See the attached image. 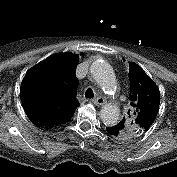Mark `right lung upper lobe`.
I'll list each match as a JSON object with an SVG mask.
<instances>
[{
  "instance_id": "right-lung-upper-lobe-1",
  "label": "right lung upper lobe",
  "mask_w": 177,
  "mask_h": 177,
  "mask_svg": "<svg viewBox=\"0 0 177 177\" xmlns=\"http://www.w3.org/2000/svg\"><path fill=\"white\" fill-rule=\"evenodd\" d=\"M78 60L76 54L58 53L26 73L20 94L30 120L52 128L72 118L79 105L76 100L78 79L75 77Z\"/></svg>"
}]
</instances>
